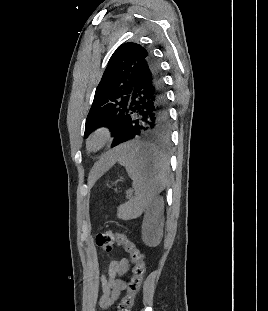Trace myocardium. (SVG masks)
<instances>
[{
  "label": "myocardium",
  "mask_w": 268,
  "mask_h": 311,
  "mask_svg": "<svg viewBox=\"0 0 268 311\" xmlns=\"http://www.w3.org/2000/svg\"><path fill=\"white\" fill-rule=\"evenodd\" d=\"M110 129L106 126L96 128L88 137L86 147L91 152L102 149L110 139Z\"/></svg>",
  "instance_id": "f54148a6"
}]
</instances>
